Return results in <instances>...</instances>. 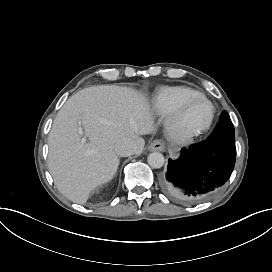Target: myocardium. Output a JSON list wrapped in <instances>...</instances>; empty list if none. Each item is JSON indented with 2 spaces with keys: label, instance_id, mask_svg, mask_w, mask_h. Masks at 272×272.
I'll use <instances>...</instances> for the list:
<instances>
[{
  "label": "myocardium",
  "instance_id": "1",
  "mask_svg": "<svg viewBox=\"0 0 272 272\" xmlns=\"http://www.w3.org/2000/svg\"><path fill=\"white\" fill-rule=\"evenodd\" d=\"M197 98L205 100L211 108V115H210V119H209L208 123L202 127H199V128H187L186 129V128L181 127V125L179 123V118L173 116L171 119V130L176 136H182V137L183 136H196V135H199L201 133L208 131L211 128V126L213 125L215 117H216V107H215L214 103L212 102V100L209 99L204 94L199 93L195 96L184 99L183 101L180 102V104L177 106V108L174 111H178V112L182 113L184 108L187 105H189L190 103H192Z\"/></svg>",
  "mask_w": 272,
  "mask_h": 272
}]
</instances>
